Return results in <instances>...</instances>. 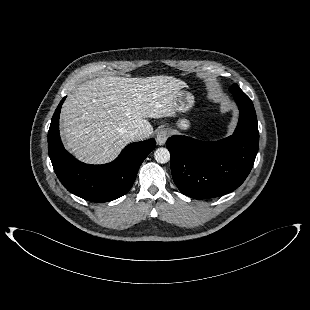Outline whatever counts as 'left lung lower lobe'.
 Here are the masks:
<instances>
[{
    "label": "left lung lower lobe",
    "mask_w": 310,
    "mask_h": 310,
    "mask_svg": "<svg viewBox=\"0 0 310 310\" xmlns=\"http://www.w3.org/2000/svg\"><path fill=\"white\" fill-rule=\"evenodd\" d=\"M240 117L233 135L214 142L186 136L168 138L171 172L179 190L195 199L214 198L239 187L250 173L259 146V132L251 99L234 94Z\"/></svg>",
    "instance_id": "1"
}]
</instances>
